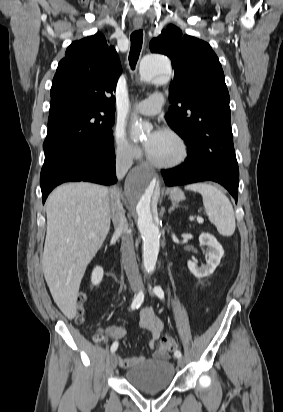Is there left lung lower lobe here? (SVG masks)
Here are the masks:
<instances>
[{"instance_id":"left-lung-lower-lobe-1","label":"left lung lower lobe","mask_w":283,"mask_h":412,"mask_svg":"<svg viewBox=\"0 0 283 412\" xmlns=\"http://www.w3.org/2000/svg\"><path fill=\"white\" fill-rule=\"evenodd\" d=\"M188 158L178 167L162 170L165 184L176 186L200 181H215L223 185L237 202L239 178L225 173L226 161L209 155L202 144L194 138L185 141Z\"/></svg>"}]
</instances>
